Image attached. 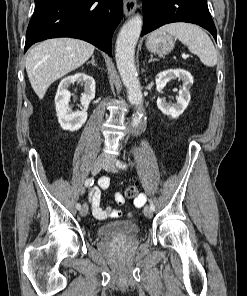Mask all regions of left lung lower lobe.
Segmentation results:
<instances>
[{
    "mask_svg": "<svg viewBox=\"0 0 247 296\" xmlns=\"http://www.w3.org/2000/svg\"><path fill=\"white\" fill-rule=\"evenodd\" d=\"M143 29L141 36L172 22L198 24L216 39V28L207 0H142Z\"/></svg>",
    "mask_w": 247,
    "mask_h": 296,
    "instance_id": "1",
    "label": "left lung lower lobe"
}]
</instances>
